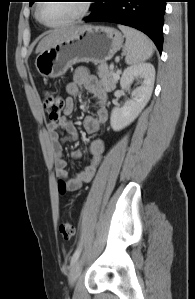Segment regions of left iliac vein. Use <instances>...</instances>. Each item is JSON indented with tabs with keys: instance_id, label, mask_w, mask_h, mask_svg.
Here are the masks:
<instances>
[{
	"instance_id": "obj_1",
	"label": "left iliac vein",
	"mask_w": 195,
	"mask_h": 299,
	"mask_svg": "<svg viewBox=\"0 0 195 299\" xmlns=\"http://www.w3.org/2000/svg\"><path fill=\"white\" fill-rule=\"evenodd\" d=\"M82 264H83V260H82V258H80L72 265V268H71L70 274H69L70 285H74L76 283V281L78 280V278L81 274Z\"/></svg>"
}]
</instances>
